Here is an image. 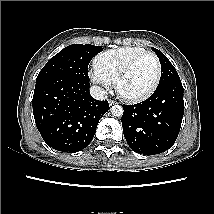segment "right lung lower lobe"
I'll use <instances>...</instances> for the list:
<instances>
[{
	"label": "right lung lower lobe",
	"mask_w": 214,
	"mask_h": 214,
	"mask_svg": "<svg viewBox=\"0 0 214 214\" xmlns=\"http://www.w3.org/2000/svg\"><path fill=\"white\" fill-rule=\"evenodd\" d=\"M87 81L64 76L36 82L33 113L43 140L61 152L83 150L92 141L108 101L94 99Z\"/></svg>",
	"instance_id": "1"
}]
</instances>
